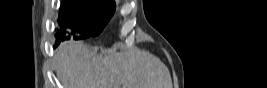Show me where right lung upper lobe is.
Here are the masks:
<instances>
[{
	"label": "right lung upper lobe",
	"instance_id": "cb5924a9",
	"mask_svg": "<svg viewBox=\"0 0 267 88\" xmlns=\"http://www.w3.org/2000/svg\"><path fill=\"white\" fill-rule=\"evenodd\" d=\"M102 1H107V2H113L114 3V0H102Z\"/></svg>",
	"mask_w": 267,
	"mask_h": 88
}]
</instances>
